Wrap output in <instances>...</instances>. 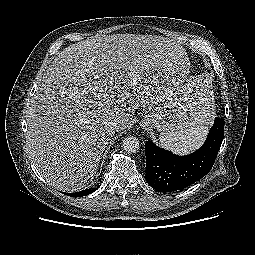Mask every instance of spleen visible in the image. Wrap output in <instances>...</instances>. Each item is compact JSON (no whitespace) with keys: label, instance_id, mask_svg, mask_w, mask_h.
I'll return each mask as SVG.
<instances>
[{"label":"spleen","instance_id":"3e777b00","mask_svg":"<svg viewBox=\"0 0 255 255\" xmlns=\"http://www.w3.org/2000/svg\"><path fill=\"white\" fill-rule=\"evenodd\" d=\"M212 119L213 115L202 108L192 114L189 128L178 132L161 133L159 136L160 145L175 154L191 153L203 143L209 126L212 124Z\"/></svg>","mask_w":255,"mask_h":255}]
</instances>
